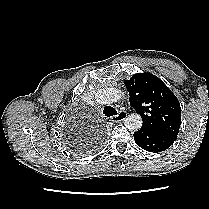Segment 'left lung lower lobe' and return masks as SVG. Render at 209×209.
I'll return each instance as SVG.
<instances>
[{
  "label": "left lung lower lobe",
  "mask_w": 209,
  "mask_h": 209,
  "mask_svg": "<svg viewBox=\"0 0 209 209\" xmlns=\"http://www.w3.org/2000/svg\"><path fill=\"white\" fill-rule=\"evenodd\" d=\"M177 137L152 132L142 128L134 133L136 144L149 152H162L169 148Z\"/></svg>",
  "instance_id": "0a47b994"
}]
</instances>
